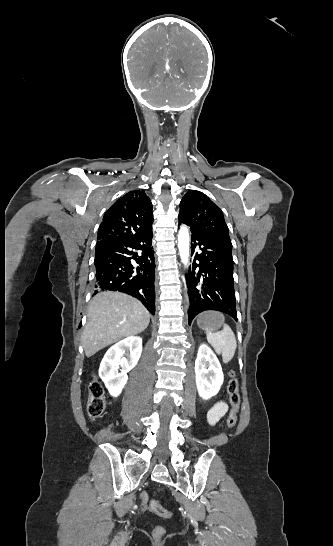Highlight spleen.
<instances>
[{"label":"spleen","mask_w":333,"mask_h":546,"mask_svg":"<svg viewBox=\"0 0 333 546\" xmlns=\"http://www.w3.org/2000/svg\"><path fill=\"white\" fill-rule=\"evenodd\" d=\"M218 314L224 320V316ZM206 336L208 343L214 348L215 352L222 355L223 362H230L237 349V342L232 329L224 323L222 331L213 332L206 329Z\"/></svg>","instance_id":"3e777b00"}]
</instances>
